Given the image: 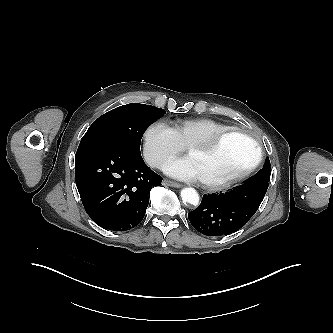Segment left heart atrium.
I'll list each match as a JSON object with an SVG mask.
<instances>
[{"instance_id":"39dd6f15","label":"left heart atrium","mask_w":333,"mask_h":333,"mask_svg":"<svg viewBox=\"0 0 333 333\" xmlns=\"http://www.w3.org/2000/svg\"><path fill=\"white\" fill-rule=\"evenodd\" d=\"M164 170L170 176L181 180H199L198 172L192 159L189 156L170 161L166 164Z\"/></svg>"}]
</instances>
